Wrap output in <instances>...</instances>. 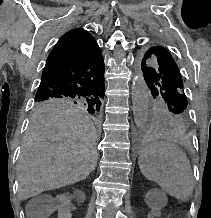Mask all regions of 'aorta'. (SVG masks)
<instances>
[{"label":"aorta","mask_w":211,"mask_h":218,"mask_svg":"<svg viewBox=\"0 0 211 218\" xmlns=\"http://www.w3.org/2000/svg\"><path fill=\"white\" fill-rule=\"evenodd\" d=\"M148 89L140 77L136 76L132 84V103L134 121L137 127H142L148 114Z\"/></svg>","instance_id":"1"}]
</instances>
